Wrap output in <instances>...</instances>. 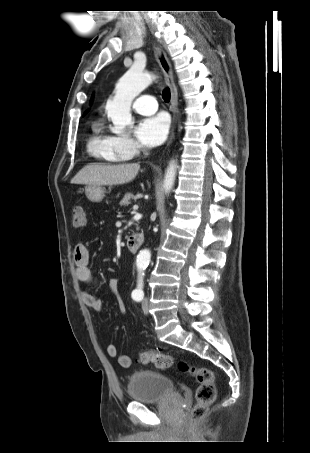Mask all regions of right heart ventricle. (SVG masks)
Wrapping results in <instances>:
<instances>
[{"mask_svg": "<svg viewBox=\"0 0 310 453\" xmlns=\"http://www.w3.org/2000/svg\"><path fill=\"white\" fill-rule=\"evenodd\" d=\"M87 150L95 159L108 163H118L127 159L115 148L112 136L105 131L100 120H95L91 124Z\"/></svg>", "mask_w": 310, "mask_h": 453, "instance_id": "obj_1", "label": "right heart ventricle"}]
</instances>
